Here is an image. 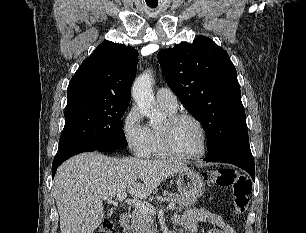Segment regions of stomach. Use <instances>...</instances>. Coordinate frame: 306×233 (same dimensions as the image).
I'll list each match as a JSON object with an SVG mask.
<instances>
[{
    "label": "stomach",
    "mask_w": 306,
    "mask_h": 233,
    "mask_svg": "<svg viewBox=\"0 0 306 233\" xmlns=\"http://www.w3.org/2000/svg\"><path fill=\"white\" fill-rule=\"evenodd\" d=\"M176 184L182 196L195 200L201 197L205 191V184L200 174L188 168L179 172Z\"/></svg>",
    "instance_id": "0dacf381"
}]
</instances>
